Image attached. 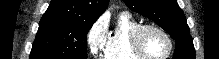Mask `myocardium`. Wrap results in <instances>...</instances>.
Here are the masks:
<instances>
[{
    "label": "myocardium",
    "instance_id": "f54148a6",
    "mask_svg": "<svg viewBox=\"0 0 219 59\" xmlns=\"http://www.w3.org/2000/svg\"><path fill=\"white\" fill-rule=\"evenodd\" d=\"M156 30L159 33H161L167 40L169 48L167 53L162 56V57H151L148 54H146V52L144 51L143 47H142V36L143 33L147 30ZM173 48H174V43L173 40L171 38V36L169 35V33L163 29L162 27L156 25V24H140L133 32L132 36H131V49L132 51L139 56L142 59H168L172 52H173Z\"/></svg>",
    "mask_w": 219,
    "mask_h": 59
}]
</instances>
